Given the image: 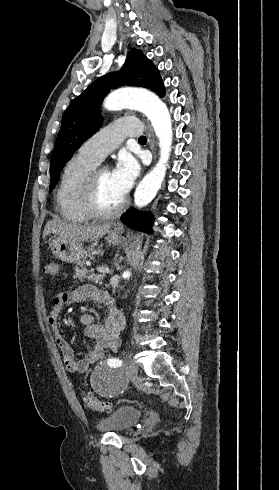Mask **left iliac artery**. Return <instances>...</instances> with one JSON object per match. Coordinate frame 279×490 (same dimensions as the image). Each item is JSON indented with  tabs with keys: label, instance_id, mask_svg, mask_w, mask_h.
Here are the masks:
<instances>
[{
	"label": "left iliac artery",
	"instance_id": "obj_1",
	"mask_svg": "<svg viewBox=\"0 0 279 490\" xmlns=\"http://www.w3.org/2000/svg\"><path fill=\"white\" fill-rule=\"evenodd\" d=\"M108 364L110 366H114V367H118V366H121L122 365V360H119V359H109L108 360Z\"/></svg>",
	"mask_w": 279,
	"mask_h": 490
}]
</instances>
